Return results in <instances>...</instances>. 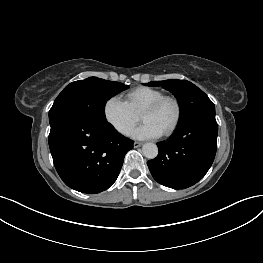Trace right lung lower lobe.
<instances>
[{
    "label": "right lung lower lobe",
    "mask_w": 263,
    "mask_h": 263,
    "mask_svg": "<svg viewBox=\"0 0 263 263\" xmlns=\"http://www.w3.org/2000/svg\"><path fill=\"white\" fill-rule=\"evenodd\" d=\"M49 147L55 168L70 188L95 194L117 179L133 141L108 122L68 116L50 124Z\"/></svg>",
    "instance_id": "98d812e1"
}]
</instances>
